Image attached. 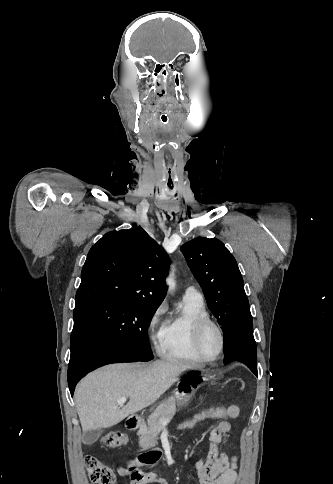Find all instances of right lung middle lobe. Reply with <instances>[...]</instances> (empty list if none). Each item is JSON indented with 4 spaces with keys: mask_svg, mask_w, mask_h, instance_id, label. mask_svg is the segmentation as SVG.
I'll return each instance as SVG.
<instances>
[{
    "mask_svg": "<svg viewBox=\"0 0 333 484\" xmlns=\"http://www.w3.org/2000/svg\"><path fill=\"white\" fill-rule=\"evenodd\" d=\"M158 306L112 299H92L77 303L74 326L86 322L120 342L137 361H150L153 354L147 329Z\"/></svg>",
    "mask_w": 333,
    "mask_h": 484,
    "instance_id": "obj_1",
    "label": "right lung middle lobe"
}]
</instances>
